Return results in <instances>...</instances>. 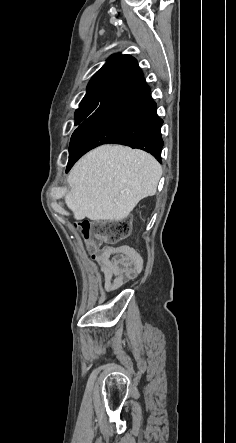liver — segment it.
I'll return each mask as SVG.
<instances>
[{
	"label": "liver",
	"mask_w": 236,
	"mask_h": 443,
	"mask_svg": "<svg viewBox=\"0 0 236 443\" xmlns=\"http://www.w3.org/2000/svg\"><path fill=\"white\" fill-rule=\"evenodd\" d=\"M161 175V165L150 154L103 145L74 165L65 202L76 220L122 221L140 200L156 194Z\"/></svg>",
	"instance_id": "liver-1"
}]
</instances>
